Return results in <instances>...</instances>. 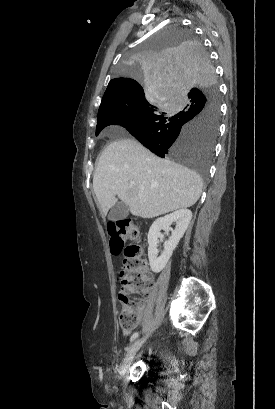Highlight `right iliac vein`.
Wrapping results in <instances>:
<instances>
[{
	"label": "right iliac vein",
	"mask_w": 275,
	"mask_h": 409,
	"mask_svg": "<svg viewBox=\"0 0 275 409\" xmlns=\"http://www.w3.org/2000/svg\"><path fill=\"white\" fill-rule=\"evenodd\" d=\"M146 341V337L141 338L139 340H136L134 343H132V345L130 346V348L127 351V354L122 362L121 368H120V374L121 376L125 375V372L127 371V369L130 367L131 362L135 356V354L137 353V351L141 348L142 344Z\"/></svg>",
	"instance_id": "1"
}]
</instances>
